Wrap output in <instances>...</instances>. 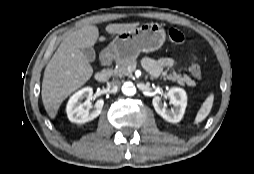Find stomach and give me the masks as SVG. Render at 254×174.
Here are the masks:
<instances>
[{
    "label": "stomach",
    "mask_w": 254,
    "mask_h": 174,
    "mask_svg": "<svg viewBox=\"0 0 254 174\" xmlns=\"http://www.w3.org/2000/svg\"><path fill=\"white\" fill-rule=\"evenodd\" d=\"M165 38V30L160 24L148 23L118 34L102 53L116 61L136 59L140 52L148 53L158 50Z\"/></svg>",
    "instance_id": "stomach-1"
}]
</instances>
